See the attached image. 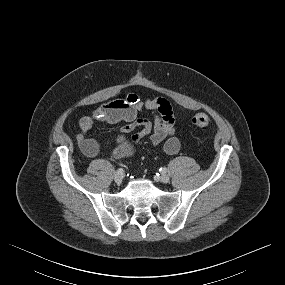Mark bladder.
Instances as JSON below:
<instances>
[{"label": "bladder", "mask_w": 285, "mask_h": 285, "mask_svg": "<svg viewBox=\"0 0 285 285\" xmlns=\"http://www.w3.org/2000/svg\"><path fill=\"white\" fill-rule=\"evenodd\" d=\"M133 152V144L125 138H119L113 148V155L118 158L128 157L132 155Z\"/></svg>", "instance_id": "obj_1"}]
</instances>
